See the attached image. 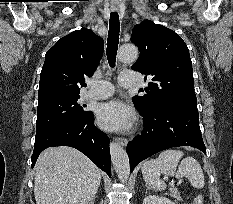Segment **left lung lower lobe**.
Wrapping results in <instances>:
<instances>
[{
  "label": "left lung lower lobe",
  "mask_w": 233,
  "mask_h": 204,
  "mask_svg": "<svg viewBox=\"0 0 233 204\" xmlns=\"http://www.w3.org/2000/svg\"><path fill=\"white\" fill-rule=\"evenodd\" d=\"M141 114L144 129L126 150L131 172L142 160L171 147L192 146L206 154L197 108L161 105Z\"/></svg>",
  "instance_id": "left-lung-lower-lobe-1"
}]
</instances>
